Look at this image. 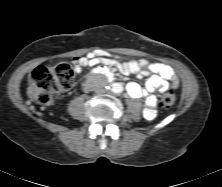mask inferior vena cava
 <instances>
[{"instance_id": "obj_1", "label": "inferior vena cava", "mask_w": 222, "mask_h": 187, "mask_svg": "<svg viewBox=\"0 0 222 187\" xmlns=\"http://www.w3.org/2000/svg\"><path fill=\"white\" fill-rule=\"evenodd\" d=\"M103 80H105V78H103ZM95 90H96L97 92H101L103 89H102V86H101V85H97V86L95 87Z\"/></svg>"}]
</instances>
